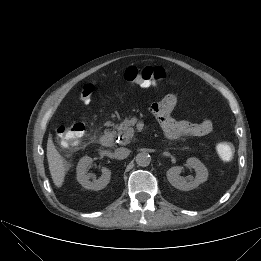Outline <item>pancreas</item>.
<instances>
[{
  "mask_svg": "<svg viewBox=\"0 0 261 261\" xmlns=\"http://www.w3.org/2000/svg\"><path fill=\"white\" fill-rule=\"evenodd\" d=\"M117 135L123 138L122 144H128L134 135L129 119H125L121 124L116 125Z\"/></svg>",
  "mask_w": 261,
  "mask_h": 261,
  "instance_id": "1",
  "label": "pancreas"
}]
</instances>
